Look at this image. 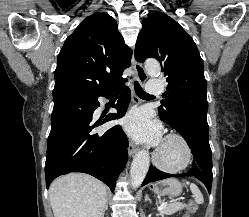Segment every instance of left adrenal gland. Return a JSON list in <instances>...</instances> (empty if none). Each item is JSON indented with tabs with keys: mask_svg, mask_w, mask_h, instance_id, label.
I'll use <instances>...</instances> for the list:
<instances>
[{
	"mask_svg": "<svg viewBox=\"0 0 249 217\" xmlns=\"http://www.w3.org/2000/svg\"><path fill=\"white\" fill-rule=\"evenodd\" d=\"M145 201L151 202V199H150L149 195H147V194H146V196H145Z\"/></svg>",
	"mask_w": 249,
	"mask_h": 217,
	"instance_id": "obj_1",
	"label": "left adrenal gland"
}]
</instances>
